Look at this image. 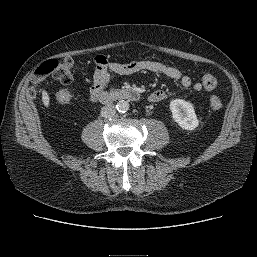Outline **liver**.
Returning <instances> with one entry per match:
<instances>
[{
	"mask_svg": "<svg viewBox=\"0 0 257 257\" xmlns=\"http://www.w3.org/2000/svg\"><path fill=\"white\" fill-rule=\"evenodd\" d=\"M42 101L45 107L49 106L50 98H49V94L45 90L42 91Z\"/></svg>",
	"mask_w": 257,
	"mask_h": 257,
	"instance_id": "liver-1",
	"label": "liver"
}]
</instances>
